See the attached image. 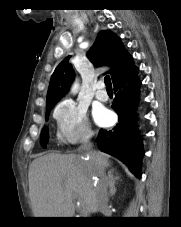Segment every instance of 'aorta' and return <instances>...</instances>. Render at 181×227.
Returning <instances> with one entry per match:
<instances>
[{"label":"aorta","mask_w":181,"mask_h":227,"mask_svg":"<svg viewBox=\"0 0 181 227\" xmlns=\"http://www.w3.org/2000/svg\"><path fill=\"white\" fill-rule=\"evenodd\" d=\"M77 88H78V84L75 83V84L73 85V87H72V91L75 92V91L77 90Z\"/></svg>","instance_id":"762f6f07"}]
</instances>
